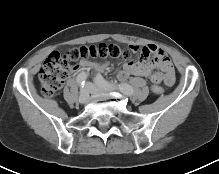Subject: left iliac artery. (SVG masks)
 <instances>
[{
  "label": "left iliac artery",
  "mask_w": 219,
  "mask_h": 174,
  "mask_svg": "<svg viewBox=\"0 0 219 174\" xmlns=\"http://www.w3.org/2000/svg\"><path fill=\"white\" fill-rule=\"evenodd\" d=\"M94 81L97 85L100 86L115 87L125 95H132L134 93V89L129 84H119L115 86L107 82L100 74L95 77Z\"/></svg>",
  "instance_id": "44dca946"
}]
</instances>
